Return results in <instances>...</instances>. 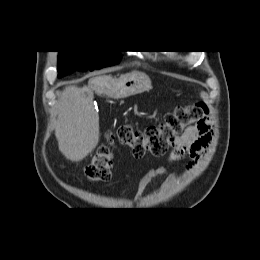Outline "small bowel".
<instances>
[{
	"mask_svg": "<svg viewBox=\"0 0 260 260\" xmlns=\"http://www.w3.org/2000/svg\"><path fill=\"white\" fill-rule=\"evenodd\" d=\"M212 138V130L209 121L206 119L202 122L191 126L177 138L169 156V161L175 162L184 158H189L187 169H192L203 156ZM168 175L165 185L172 183L177 175L170 173L165 167H158L149 170L141 179L139 185V194L143 189L157 176Z\"/></svg>",
	"mask_w": 260,
	"mask_h": 260,
	"instance_id": "1",
	"label": "small bowel"
}]
</instances>
